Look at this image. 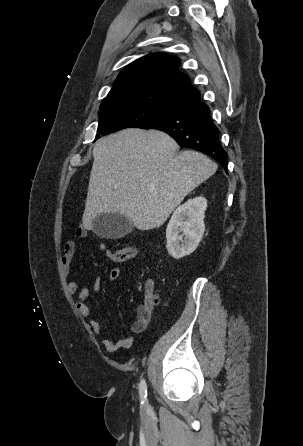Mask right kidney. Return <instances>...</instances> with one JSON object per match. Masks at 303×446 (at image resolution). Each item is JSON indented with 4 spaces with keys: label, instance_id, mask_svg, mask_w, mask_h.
Wrapping results in <instances>:
<instances>
[{
    "label": "right kidney",
    "instance_id": "ca27d5eb",
    "mask_svg": "<svg viewBox=\"0 0 303 446\" xmlns=\"http://www.w3.org/2000/svg\"><path fill=\"white\" fill-rule=\"evenodd\" d=\"M206 208L207 200L199 196L174 211L166 229V247L173 258L180 259L196 250L205 231Z\"/></svg>",
    "mask_w": 303,
    "mask_h": 446
}]
</instances>
